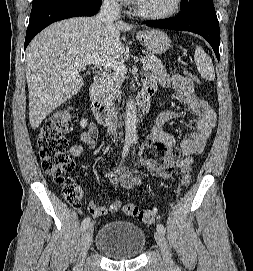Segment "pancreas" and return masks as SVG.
<instances>
[{
	"label": "pancreas",
	"instance_id": "pancreas-1",
	"mask_svg": "<svg viewBox=\"0 0 253 271\" xmlns=\"http://www.w3.org/2000/svg\"><path fill=\"white\" fill-rule=\"evenodd\" d=\"M144 63L149 65V70L151 72L157 74L166 73V69L161 60L153 54L147 53L144 58ZM124 79V74L115 71L107 73L99 85V100L104 104L111 103L115 99V96L120 93V88Z\"/></svg>",
	"mask_w": 253,
	"mask_h": 271
}]
</instances>
